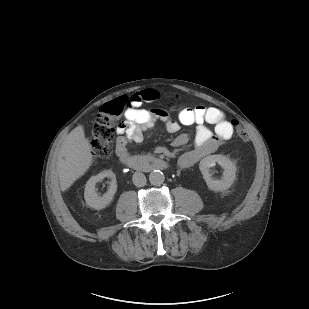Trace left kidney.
<instances>
[{"mask_svg": "<svg viewBox=\"0 0 309 309\" xmlns=\"http://www.w3.org/2000/svg\"><path fill=\"white\" fill-rule=\"evenodd\" d=\"M216 163L224 168L223 178L221 180H213L209 173V168L214 166ZM199 168L208 188L215 192L229 189L236 178L235 164L223 155H209L203 158L200 161Z\"/></svg>", "mask_w": 309, "mask_h": 309, "instance_id": "1", "label": "left kidney"}]
</instances>
